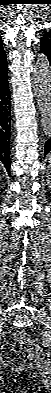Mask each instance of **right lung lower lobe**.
<instances>
[{"label": "right lung lower lobe", "mask_w": 51, "mask_h": 393, "mask_svg": "<svg viewBox=\"0 0 51 393\" xmlns=\"http://www.w3.org/2000/svg\"><path fill=\"white\" fill-rule=\"evenodd\" d=\"M7 72L8 69L0 73V161L10 173L11 102Z\"/></svg>", "instance_id": "right-lung-lower-lobe-1"}]
</instances>
